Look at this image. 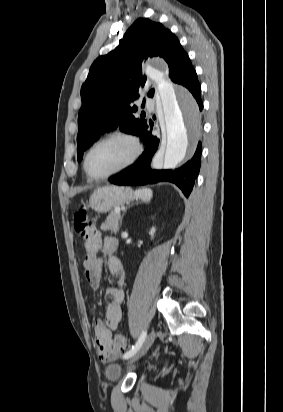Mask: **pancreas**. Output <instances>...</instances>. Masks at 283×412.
Here are the masks:
<instances>
[{
  "mask_svg": "<svg viewBox=\"0 0 283 412\" xmlns=\"http://www.w3.org/2000/svg\"><path fill=\"white\" fill-rule=\"evenodd\" d=\"M121 216L120 213H116L112 211L104 223L101 225V230L103 231H111L113 233H117L119 231V223L121 225Z\"/></svg>",
  "mask_w": 283,
  "mask_h": 412,
  "instance_id": "cf45deb5",
  "label": "pancreas"
}]
</instances>
